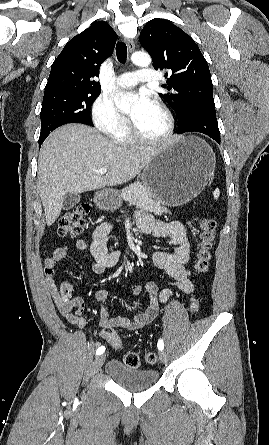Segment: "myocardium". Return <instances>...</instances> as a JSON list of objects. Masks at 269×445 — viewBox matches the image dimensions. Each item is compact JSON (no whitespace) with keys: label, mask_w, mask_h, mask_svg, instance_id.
Masks as SVG:
<instances>
[{"label":"myocardium","mask_w":269,"mask_h":445,"mask_svg":"<svg viewBox=\"0 0 269 445\" xmlns=\"http://www.w3.org/2000/svg\"><path fill=\"white\" fill-rule=\"evenodd\" d=\"M153 103L163 112V114L167 120V127H166L165 132L162 135H160L158 137H146L139 132V130L137 129V127L135 126V124L132 120H130V122H129V128H130L132 137L136 141L144 143V144L164 143L170 139V137L173 135L174 129H175V119H174V116H173L171 110L168 108V106L165 103H163L162 101L157 100V99H155L153 101Z\"/></svg>","instance_id":"1"}]
</instances>
